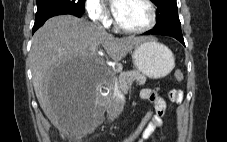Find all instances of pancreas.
I'll use <instances>...</instances> for the list:
<instances>
[{
	"instance_id": "obj_1",
	"label": "pancreas",
	"mask_w": 227,
	"mask_h": 142,
	"mask_svg": "<svg viewBox=\"0 0 227 142\" xmlns=\"http://www.w3.org/2000/svg\"><path fill=\"white\" fill-rule=\"evenodd\" d=\"M118 84V89L127 94L133 84L136 82L138 85H144L146 83V77L138 70H132L127 72H121L118 77L115 78Z\"/></svg>"
}]
</instances>
